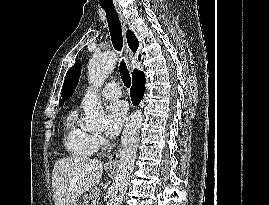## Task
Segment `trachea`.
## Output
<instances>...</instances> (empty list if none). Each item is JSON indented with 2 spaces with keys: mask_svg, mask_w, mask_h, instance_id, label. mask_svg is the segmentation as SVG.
<instances>
[{
  "mask_svg": "<svg viewBox=\"0 0 269 205\" xmlns=\"http://www.w3.org/2000/svg\"><path fill=\"white\" fill-rule=\"evenodd\" d=\"M101 7L106 12V18L108 22L113 47L120 52L123 47V38H122L121 23L118 14L113 6L101 5ZM119 72L124 85L126 87H130L131 77L124 60L120 62Z\"/></svg>",
  "mask_w": 269,
  "mask_h": 205,
  "instance_id": "3493384b",
  "label": "trachea"
}]
</instances>
